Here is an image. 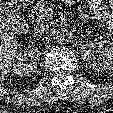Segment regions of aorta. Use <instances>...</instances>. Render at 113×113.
Masks as SVG:
<instances>
[{
    "label": "aorta",
    "instance_id": "aorta-1",
    "mask_svg": "<svg viewBox=\"0 0 113 113\" xmlns=\"http://www.w3.org/2000/svg\"><path fill=\"white\" fill-rule=\"evenodd\" d=\"M72 32L67 28H61L56 33V40L60 44H66L72 39Z\"/></svg>",
    "mask_w": 113,
    "mask_h": 113
}]
</instances>
